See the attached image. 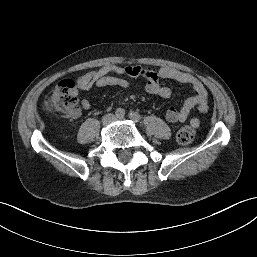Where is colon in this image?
<instances>
[{
  "label": "colon",
  "instance_id": "1",
  "mask_svg": "<svg viewBox=\"0 0 257 257\" xmlns=\"http://www.w3.org/2000/svg\"><path fill=\"white\" fill-rule=\"evenodd\" d=\"M47 109L70 113L78 107L76 93V83L73 80L66 79L61 81L45 100ZM195 138V128L192 125L181 127L176 133V141L179 144H190Z\"/></svg>",
  "mask_w": 257,
  "mask_h": 257
}]
</instances>
